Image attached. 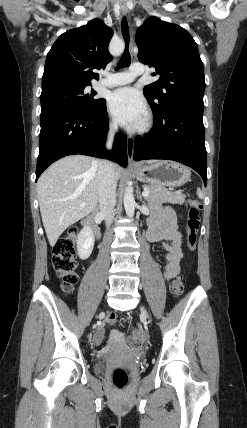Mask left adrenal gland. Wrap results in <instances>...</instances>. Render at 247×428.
Masks as SVG:
<instances>
[{"mask_svg":"<svg viewBox=\"0 0 247 428\" xmlns=\"http://www.w3.org/2000/svg\"><path fill=\"white\" fill-rule=\"evenodd\" d=\"M140 200L142 201V197L140 196ZM143 203H145L144 201H142Z\"/></svg>","mask_w":247,"mask_h":428,"instance_id":"1","label":"left adrenal gland"}]
</instances>
